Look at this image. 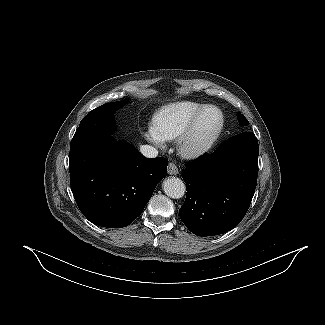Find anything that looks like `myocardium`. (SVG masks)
Returning a JSON list of instances; mask_svg holds the SVG:
<instances>
[{
  "instance_id": "1",
  "label": "myocardium",
  "mask_w": 325,
  "mask_h": 325,
  "mask_svg": "<svg viewBox=\"0 0 325 325\" xmlns=\"http://www.w3.org/2000/svg\"><path fill=\"white\" fill-rule=\"evenodd\" d=\"M215 110L219 114V123L213 132L202 141L197 140L196 134L198 131L199 123L208 110ZM225 124V117L220 108L207 105L203 107L191 120L189 125L185 128V130L181 133L177 141V148L179 153L188 159L199 157L205 153H207L214 143L219 138Z\"/></svg>"
}]
</instances>
